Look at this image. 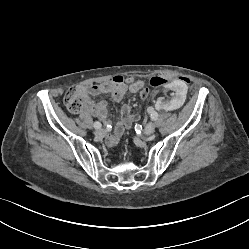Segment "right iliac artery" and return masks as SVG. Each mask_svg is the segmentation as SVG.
Masks as SVG:
<instances>
[{
	"instance_id": "82829eb1",
	"label": "right iliac artery",
	"mask_w": 249,
	"mask_h": 249,
	"mask_svg": "<svg viewBox=\"0 0 249 249\" xmlns=\"http://www.w3.org/2000/svg\"><path fill=\"white\" fill-rule=\"evenodd\" d=\"M94 127H95L96 129L101 128V123H100L99 121H96V122L94 123Z\"/></svg>"
}]
</instances>
